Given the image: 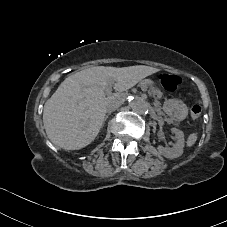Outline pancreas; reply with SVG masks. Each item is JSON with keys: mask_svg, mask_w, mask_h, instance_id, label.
<instances>
[{"mask_svg": "<svg viewBox=\"0 0 227 227\" xmlns=\"http://www.w3.org/2000/svg\"><path fill=\"white\" fill-rule=\"evenodd\" d=\"M152 108L156 112V114L159 115L160 118L164 120L165 123H169L170 125L174 124L173 119L171 117H167V113L163 111L158 101L154 102Z\"/></svg>", "mask_w": 227, "mask_h": 227, "instance_id": "pancreas-1", "label": "pancreas"}]
</instances>
